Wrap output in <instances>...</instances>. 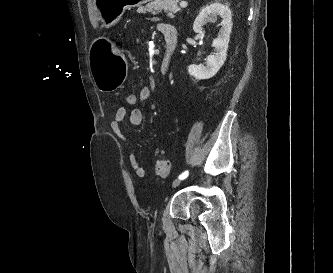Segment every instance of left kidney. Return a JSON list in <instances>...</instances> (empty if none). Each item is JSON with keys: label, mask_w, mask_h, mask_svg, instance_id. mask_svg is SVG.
<instances>
[{"label": "left kidney", "mask_w": 333, "mask_h": 273, "mask_svg": "<svg viewBox=\"0 0 333 273\" xmlns=\"http://www.w3.org/2000/svg\"><path fill=\"white\" fill-rule=\"evenodd\" d=\"M217 16L222 18L218 37L212 43L217 53L209 55L206 58L205 65L193 64L188 66V73L196 80L213 77L220 70L227 58L228 43L232 29V14L228 5L216 1L204 7L194 21L193 30L196 33L202 32V26L211 20H216Z\"/></svg>", "instance_id": "obj_1"}]
</instances>
